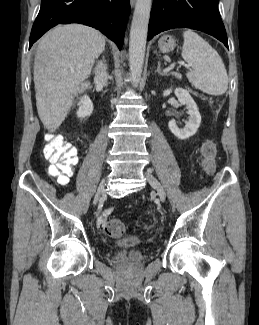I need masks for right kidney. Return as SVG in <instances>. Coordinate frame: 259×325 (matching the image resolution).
I'll return each instance as SVG.
<instances>
[{
    "mask_svg": "<svg viewBox=\"0 0 259 325\" xmlns=\"http://www.w3.org/2000/svg\"><path fill=\"white\" fill-rule=\"evenodd\" d=\"M77 117L84 119L89 117L93 112V103L87 95H84L78 103Z\"/></svg>",
    "mask_w": 259,
    "mask_h": 325,
    "instance_id": "obj_1",
    "label": "right kidney"
}]
</instances>
